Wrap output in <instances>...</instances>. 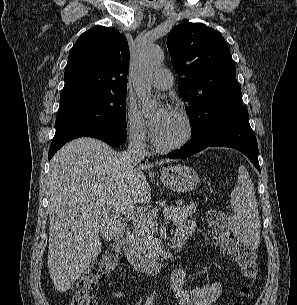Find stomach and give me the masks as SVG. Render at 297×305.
Returning <instances> with one entry per match:
<instances>
[{
	"mask_svg": "<svg viewBox=\"0 0 297 305\" xmlns=\"http://www.w3.org/2000/svg\"><path fill=\"white\" fill-rule=\"evenodd\" d=\"M161 180L168 189L177 193L190 192L199 186L197 172L182 164L164 168L161 171Z\"/></svg>",
	"mask_w": 297,
	"mask_h": 305,
	"instance_id": "stomach-1",
	"label": "stomach"
}]
</instances>
